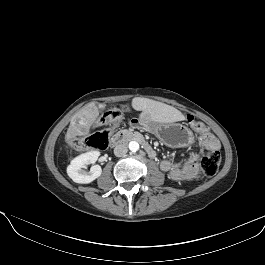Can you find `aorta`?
<instances>
[{
	"mask_svg": "<svg viewBox=\"0 0 265 265\" xmlns=\"http://www.w3.org/2000/svg\"><path fill=\"white\" fill-rule=\"evenodd\" d=\"M129 150L132 151V152H137L140 148V145L137 141H131L129 142Z\"/></svg>",
	"mask_w": 265,
	"mask_h": 265,
	"instance_id": "1",
	"label": "aorta"
}]
</instances>
